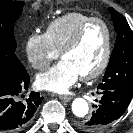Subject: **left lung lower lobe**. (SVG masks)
<instances>
[{"instance_id": "0a47b994", "label": "left lung lower lobe", "mask_w": 133, "mask_h": 133, "mask_svg": "<svg viewBox=\"0 0 133 133\" xmlns=\"http://www.w3.org/2000/svg\"><path fill=\"white\" fill-rule=\"evenodd\" d=\"M101 100L93 107L92 116L83 121L86 133H99L111 126L126 111L132 96L117 90H100Z\"/></svg>"}]
</instances>
